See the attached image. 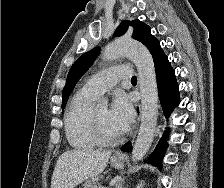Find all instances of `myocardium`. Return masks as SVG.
I'll return each mask as SVG.
<instances>
[{"instance_id":"obj_1","label":"myocardium","mask_w":224,"mask_h":188,"mask_svg":"<svg viewBox=\"0 0 224 188\" xmlns=\"http://www.w3.org/2000/svg\"><path fill=\"white\" fill-rule=\"evenodd\" d=\"M89 124H90L92 135L98 144L105 145V146L115 145L119 143L122 139L121 135H118L116 137H109L104 134L100 126V123L96 117L95 111H91Z\"/></svg>"}]
</instances>
